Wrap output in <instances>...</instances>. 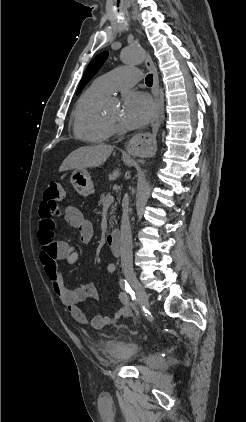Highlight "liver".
Masks as SVG:
<instances>
[{"mask_svg":"<svg viewBox=\"0 0 246 422\" xmlns=\"http://www.w3.org/2000/svg\"><path fill=\"white\" fill-rule=\"evenodd\" d=\"M113 149V146L106 144L81 147L67 156L60 166L59 172L99 167L109 158ZM119 176L120 171L117 169L109 175V180H115Z\"/></svg>","mask_w":246,"mask_h":422,"instance_id":"1","label":"liver"}]
</instances>
